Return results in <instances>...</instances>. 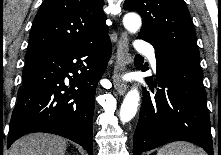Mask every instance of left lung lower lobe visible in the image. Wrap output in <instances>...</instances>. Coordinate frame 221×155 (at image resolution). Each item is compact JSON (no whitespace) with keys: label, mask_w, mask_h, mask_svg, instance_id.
<instances>
[{"label":"left lung lower lobe","mask_w":221,"mask_h":155,"mask_svg":"<svg viewBox=\"0 0 221 155\" xmlns=\"http://www.w3.org/2000/svg\"><path fill=\"white\" fill-rule=\"evenodd\" d=\"M155 49L158 79L146 78L149 89H143L133 155L179 140L214 155L199 55L169 47ZM142 63L137 55L135 66L144 70Z\"/></svg>","instance_id":"0a47b994"}]
</instances>
